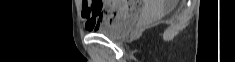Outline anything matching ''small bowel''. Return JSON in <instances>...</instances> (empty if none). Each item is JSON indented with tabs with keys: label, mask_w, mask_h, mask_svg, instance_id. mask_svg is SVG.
Listing matches in <instances>:
<instances>
[{
	"label": "small bowel",
	"mask_w": 235,
	"mask_h": 62,
	"mask_svg": "<svg viewBox=\"0 0 235 62\" xmlns=\"http://www.w3.org/2000/svg\"><path fill=\"white\" fill-rule=\"evenodd\" d=\"M126 5L127 7L133 8L138 4L134 2H127ZM112 6L113 2H107L105 6L100 9H95L94 4L83 1L82 18L85 23V28L88 31H94L101 25L102 22H110L112 16Z\"/></svg>",
	"instance_id": "small-bowel-1"
}]
</instances>
